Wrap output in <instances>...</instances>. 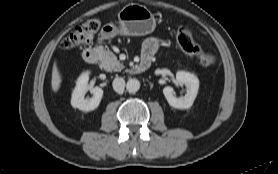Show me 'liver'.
<instances>
[{"mask_svg": "<svg viewBox=\"0 0 278 174\" xmlns=\"http://www.w3.org/2000/svg\"><path fill=\"white\" fill-rule=\"evenodd\" d=\"M62 82V78L59 72V69L57 67L56 61L53 64L52 68V80H51V85H52V90L56 93L60 89Z\"/></svg>", "mask_w": 278, "mask_h": 174, "instance_id": "6515ba94", "label": "liver"}]
</instances>
